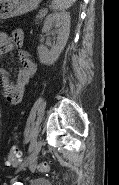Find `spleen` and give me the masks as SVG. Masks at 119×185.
I'll return each mask as SVG.
<instances>
[{
	"instance_id": "spleen-1",
	"label": "spleen",
	"mask_w": 119,
	"mask_h": 185,
	"mask_svg": "<svg viewBox=\"0 0 119 185\" xmlns=\"http://www.w3.org/2000/svg\"><path fill=\"white\" fill-rule=\"evenodd\" d=\"M76 0H53L51 8L55 11H65L68 9Z\"/></svg>"
}]
</instances>
